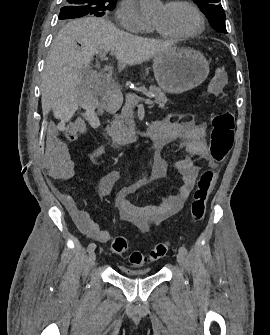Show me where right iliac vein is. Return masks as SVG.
<instances>
[{
	"mask_svg": "<svg viewBox=\"0 0 270 335\" xmlns=\"http://www.w3.org/2000/svg\"><path fill=\"white\" fill-rule=\"evenodd\" d=\"M95 259H96V254H95V251L92 250V251L89 252V260H90L91 263H93L95 261Z\"/></svg>",
	"mask_w": 270,
	"mask_h": 335,
	"instance_id": "63e3f726",
	"label": "right iliac vein"
}]
</instances>
